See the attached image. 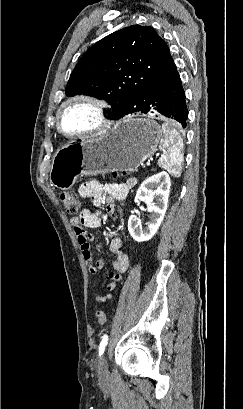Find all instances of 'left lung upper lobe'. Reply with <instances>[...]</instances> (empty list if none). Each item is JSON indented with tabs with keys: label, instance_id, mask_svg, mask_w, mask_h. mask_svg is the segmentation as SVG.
Wrapping results in <instances>:
<instances>
[{
	"label": "left lung upper lobe",
	"instance_id": "left-lung-upper-lobe-1",
	"mask_svg": "<svg viewBox=\"0 0 243 409\" xmlns=\"http://www.w3.org/2000/svg\"><path fill=\"white\" fill-rule=\"evenodd\" d=\"M169 47L151 26L118 30L90 47L75 66L66 94L102 98L119 119L135 98L174 66Z\"/></svg>",
	"mask_w": 243,
	"mask_h": 409
}]
</instances>
